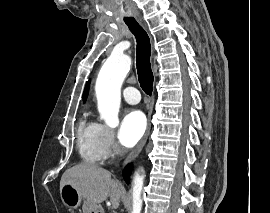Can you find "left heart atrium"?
<instances>
[{"label": "left heart atrium", "instance_id": "obj_1", "mask_svg": "<svg viewBox=\"0 0 270 213\" xmlns=\"http://www.w3.org/2000/svg\"><path fill=\"white\" fill-rule=\"evenodd\" d=\"M146 130V118L139 110L128 111L118 130V140L126 148L133 147L142 138Z\"/></svg>", "mask_w": 270, "mask_h": 213}]
</instances>
